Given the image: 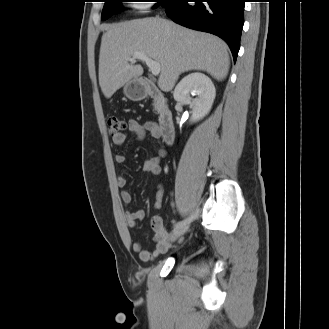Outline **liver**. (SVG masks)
I'll return each instance as SVG.
<instances>
[{
  "mask_svg": "<svg viewBox=\"0 0 329 329\" xmlns=\"http://www.w3.org/2000/svg\"><path fill=\"white\" fill-rule=\"evenodd\" d=\"M105 29L99 55V85L107 99L130 80L142 76V66L129 64L128 60L137 52L160 64L158 86L163 91H170L179 75L187 71H205L217 80L228 74L227 45L208 33L157 17L115 23Z\"/></svg>",
  "mask_w": 329,
  "mask_h": 329,
  "instance_id": "6515ba94",
  "label": "liver"
}]
</instances>
